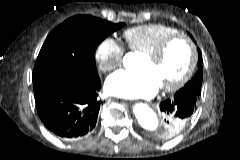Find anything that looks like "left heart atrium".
I'll list each match as a JSON object with an SVG mask.
<instances>
[{
  "mask_svg": "<svg viewBox=\"0 0 240 160\" xmlns=\"http://www.w3.org/2000/svg\"><path fill=\"white\" fill-rule=\"evenodd\" d=\"M106 91L123 98H151L160 85L150 72L133 73L119 70L110 75L105 84Z\"/></svg>",
  "mask_w": 240,
  "mask_h": 160,
  "instance_id": "39dd6f15",
  "label": "left heart atrium"
}]
</instances>
